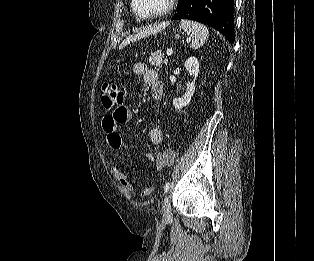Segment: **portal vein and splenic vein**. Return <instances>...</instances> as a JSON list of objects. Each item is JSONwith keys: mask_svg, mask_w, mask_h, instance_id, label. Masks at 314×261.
<instances>
[{"mask_svg": "<svg viewBox=\"0 0 314 261\" xmlns=\"http://www.w3.org/2000/svg\"><path fill=\"white\" fill-rule=\"evenodd\" d=\"M172 53H173V51H172V49H169V50H167V56H171L172 55Z\"/></svg>", "mask_w": 314, "mask_h": 261, "instance_id": "1", "label": "portal vein and splenic vein"}]
</instances>
